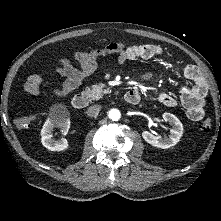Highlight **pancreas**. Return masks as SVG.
<instances>
[{"mask_svg": "<svg viewBox=\"0 0 221 221\" xmlns=\"http://www.w3.org/2000/svg\"><path fill=\"white\" fill-rule=\"evenodd\" d=\"M109 88L105 86V84H94L91 87H87L82 94L87 96L90 100H98L103 94L107 93Z\"/></svg>", "mask_w": 221, "mask_h": 221, "instance_id": "cf45deb5", "label": "pancreas"}]
</instances>
